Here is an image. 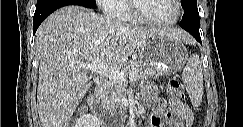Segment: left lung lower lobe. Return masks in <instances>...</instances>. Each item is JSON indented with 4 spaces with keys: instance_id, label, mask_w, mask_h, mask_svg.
I'll return each mask as SVG.
<instances>
[{
    "instance_id": "left-lung-lower-lobe-1",
    "label": "left lung lower lobe",
    "mask_w": 243,
    "mask_h": 127,
    "mask_svg": "<svg viewBox=\"0 0 243 127\" xmlns=\"http://www.w3.org/2000/svg\"><path fill=\"white\" fill-rule=\"evenodd\" d=\"M184 13L185 14L182 17L180 26L188 31L200 44H202L199 33L200 18L198 9L185 11Z\"/></svg>"
}]
</instances>
